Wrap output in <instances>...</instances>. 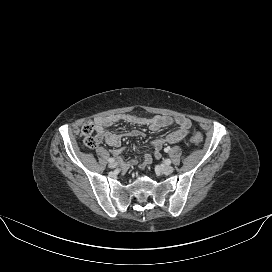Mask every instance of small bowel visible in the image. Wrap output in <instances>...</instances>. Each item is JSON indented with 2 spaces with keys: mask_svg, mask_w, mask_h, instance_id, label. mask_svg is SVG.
Instances as JSON below:
<instances>
[{
  "mask_svg": "<svg viewBox=\"0 0 272 272\" xmlns=\"http://www.w3.org/2000/svg\"><path fill=\"white\" fill-rule=\"evenodd\" d=\"M117 122H127L131 124H138L147 126L151 131H158L163 127L176 124L178 129L169 133L164 137H159L155 139L152 143L154 149V157L159 159L161 157V151L164 145L174 144L182 141L190 132L191 122L190 120L182 115L178 116H166V115H156L150 118L135 116L130 114H114L105 117H99L95 120V131H96V143L105 142L109 146L118 148L121 145V134H116L110 131H106V128L112 126ZM125 136H143L144 133L138 129H132L127 131ZM118 154V151H115ZM152 163V156L150 154H145L141 168H145ZM130 165H135L137 162L131 160Z\"/></svg>",
  "mask_w": 272,
  "mask_h": 272,
  "instance_id": "obj_1",
  "label": "small bowel"
}]
</instances>
